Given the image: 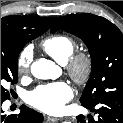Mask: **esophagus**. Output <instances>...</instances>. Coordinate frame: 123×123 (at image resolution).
Here are the masks:
<instances>
[{"label":"esophagus","instance_id":"esophagus-1","mask_svg":"<svg viewBox=\"0 0 123 123\" xmlns=\"http://www.w3.org/2000/svg\"><path fill=\"white\" fill-rule=\"evenodd\" d=\"M45 119L49 122H52V123H55V122H58V121H61L62 118H58V117H51V116H46Z\"/></svg>","mask_w":123,"mask_h":123}]
</instances>
